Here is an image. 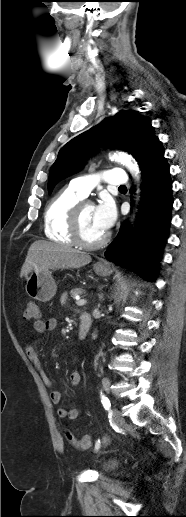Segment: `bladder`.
<instances>
[{"mask_svg":"<svg viewBox=\"0 0 186 517\" xmlns=\"http://www.w3.org/2000/svg\"><path fill=\"white\" fill-rule=\"evenodd\" d=\"M118 465V461L113 459V460H110L104 467L105 471H110L114 468H116Z\"/></svg>","mask_w":186,"mask_h":517,"instance_id":"1","label":"bladder"}]
</instances>
